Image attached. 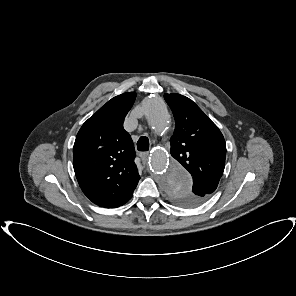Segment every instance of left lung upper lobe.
Wrapping results in <instances>:
<instances>
[{
    "label": "left lung upper lobe",
    "instance_id": "1",
    "mask_svg": "<svg viewBox=\"0 0 296 296\" xmlns=\"http://www.w3.org/2000/svg\"><path fill=\"white\" fill-rule=\"evenodd\" d=\"M164 98L175 118L171 155L192 175L190 191H173L172 202L192 207L206 201L223 174L226 143L218 127L189 98L172 93Z\"/></svg>",
    "mask_w": 296,
    "mask_h": 296
}]
</instances>
